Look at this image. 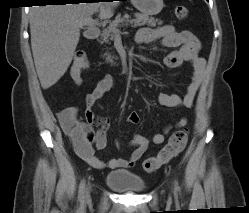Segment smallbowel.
Returning <instances> with one entry per match:
<instances>
[{
  "label": "small bowel",
  "instance_id": "c3829d8e",
  "mask_svg": "<svg viewBox=\"0 0 249 213\" xmlns=\"http://www.w3.org/2000/svg\"><path fill=\"white\" fill-rule=\"evenodd\" d=\"M136 40L139 44H153L160 40L165 47L173 48L164 59L166 66L176 68L182 63H189L193 74L188 84L186 93L180 97L175 94L160 93L158 102L164 107H184L190 108L193 105L196 94L199 90L205 70V60L199 55L200 42L190 31H178L172 25H164L157 28H141ZM114 85V78L105 76L85 98L86 121L78 118V109L68 107L58 113V119L63 131L72 138L73 146L78 156L88 165L97 169L129 168L138 161L148 149L151 143L161 144L170 133L172 126L165 127L162 132L151 138L135 134L130 140V145L134 148L128 158H112L102 161L95 155V150H104L107 146V129L109 118L97 116L93 113L92 107L108 92ZM140 116L137 112H131L127 117V122L137 124ZM97 125V130L92 129V125ZM187 125L185 117L180 118L174 125L175 128H183ZM119 144V142H116Z\"/></svg>",
  "mask_w": 249,
  "mask_h": 213
}]
</instances>
